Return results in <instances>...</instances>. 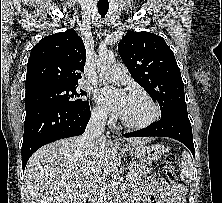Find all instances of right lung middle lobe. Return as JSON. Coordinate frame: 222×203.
Here are the masks:
<instances>
[{"label": "right lung middle lobe", "mask_w": 222, "mask_h": 203, "mask_svg": "<svg viewBox=\"0 0 222 203\" xmlns=\"http://www.w3.org/2000/svg\"><path fill=\"white\" fill-rule=\"evenodd\" d=\"M86 95L83 90H78L77 85L50 86L27 91L25 94V109L38 105H59L63 107H83L88 101L79 99Z\"/></svg>", "instance_id": "right-lung-middle-lobe-1"}]
</instances>
